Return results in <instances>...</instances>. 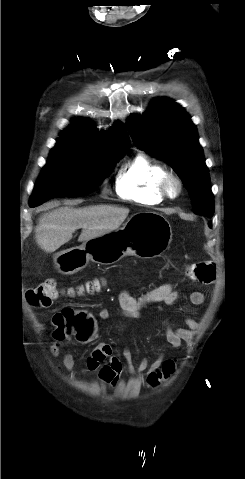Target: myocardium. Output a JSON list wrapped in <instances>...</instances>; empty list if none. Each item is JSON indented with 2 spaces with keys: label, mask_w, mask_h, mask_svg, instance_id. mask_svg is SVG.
<instances>
[{
  "label": "myocardium",
  "mask_w": 245,
  "mask_h": 479,
  "mask_svg": "<svg viewBox=\"0 0 245 479\" xmlns=\"http://www.w3.org/2000/svg\"><path fill=\"white\" fill-rule=\"evenodd\" d=\"M160 191L164 198L175 200L183 191V183L179 176L167 172L160 182Z\"/></svg>",
  "instance_id": "1"
}]
</instances>
